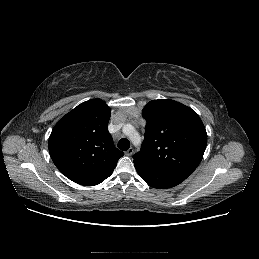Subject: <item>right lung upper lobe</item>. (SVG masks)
<instances>
[{
	"instance_id": "obj_1",
	"label": "right lung upper lobe",
	"mask_w": 259,
	"mask_h": 259,
	"mask_svg": "<svg viewBox=\"0 0 259 259\" xmlns=\"http://www.w3.org/2000/svg\"><path fill=\"white\" fill-rule=\"evenodd\" d=\"M111 109L101 99L81 103L53 128L49 153L56 167L75 183L94 186L108 178L124 153L108 131Z\"/></svg>"
}]
</instances>
